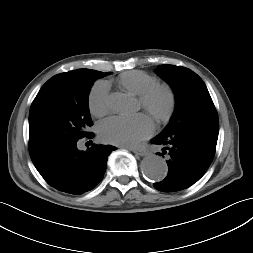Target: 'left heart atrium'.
I'll use <instances>...</instances> for the list:
<instances>
[{"label":"left heart atrium","instance_id":"left-heart-atrium-1","mask_svg":"<svg viewBox=\"0 0 253 253\" xmlns=\"http://www.w3.org/2000/svg\"><path fill=\"white\" fill-rule=\"evenodd\" d=\"M152 118L144 113L131 116H112L98 126L101 139L120 146H134L154 132Z\"/></svg>","mask_w":253,"mask_h":253}]
</instances>
